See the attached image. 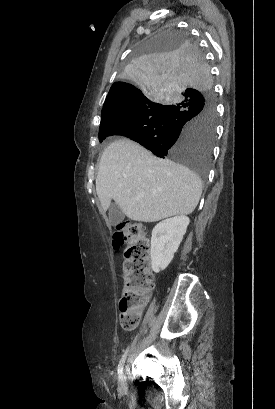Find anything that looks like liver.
I'll list each match as a JSON object with an SVG mask.
<instances>
[{
    "instance_id": "liver-1",
    "label": "liver",
    "mask_w": 275,
    "mask_h": 409,
    "mask_svg": "<svg viewBox=\"0 0 275 409\" xmlns=\"http://www.w3.org/2000/svg\"><path fill=\"white\" fill-rule=\"evenodd\" d=\"M96 192L103 211L109 209L113 198L132 221L154 223L193 213L202 182L188 166L157 158L129 138H117L100 158Z\"/></svg>"
}]
</instances>
